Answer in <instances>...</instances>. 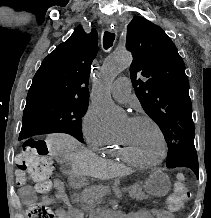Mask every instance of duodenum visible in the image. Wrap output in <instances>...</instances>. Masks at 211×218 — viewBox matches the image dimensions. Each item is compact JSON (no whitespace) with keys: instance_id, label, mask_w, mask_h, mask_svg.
<instances>
[{"instance_id":"1","label":"duodenum","mask_w":211,"mask_h":218,"mask_svg":"<svg viewBox=\"0 0 211 218\" xmlns=\"http://www.w3.org/2000/svg\"><path fill=\"white\" fill-rule=\"evenodd\" d=\"M69 185L73 188L79 187L83 178L79 173H72L68 179ZM97 218H138V212L135 211H123V210H111V209H99L96 212Z\"/></svg>"}]
</instances>
